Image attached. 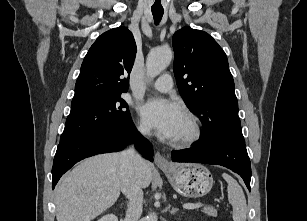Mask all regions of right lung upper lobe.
Returning a JSON list of instances; mask_svg holds the SVG:
<instances>
[{"label":"right lung upper lobe","mask_w":307,"mask_h":221,"mask_svg":"<svg viewBox=\"0 0 307 221\" xmlns=\"http://www.w3.org/2000/svg\"><path fill=\"white\" fill-rule=\"evenodd\" d=\"M136 51L125 27L100 35L83 60L72 103L126 92Z\"/></svg>","instance_id":"1"}]
</instances>
